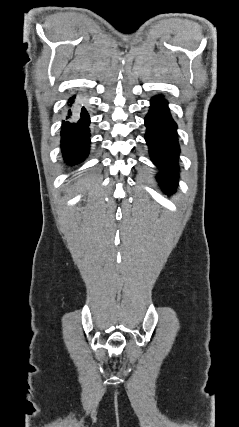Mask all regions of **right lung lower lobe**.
Returning <instances> with one entry per match:
<instances>
[{"instance_id":"obj_1","label":"right lung lower lobe","mask_w":239,"mask_h":427,"mask_svg":"<svg viewBox=\"0 0 239 427\" xmlns=\"http://www.w3.org/2000/svg\"><path fill=\"white\" fill-rule=\"evenodd\" d=\"M75 96L69 99L70 106ZM90 117L84 107L76 108L73 113L68 111L67 120L61 129V148L64 161L74 165L87 157L90 148Z\"/></svg>"}]
</instances>
